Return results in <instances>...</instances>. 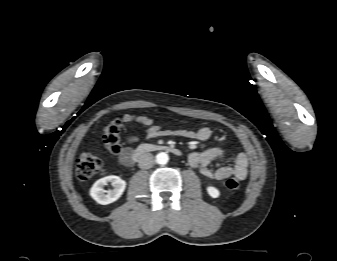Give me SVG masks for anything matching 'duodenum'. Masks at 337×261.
Returning <instances> with one entry per match:
<instances>
[{"instance_id": "1", "label": "duodenum", "mask_w": 337, "mask_h": 261, "mask_svg": "<svg viewBox=\"0 0 337 261\" xmlns=\"http://www.w3.org/2000/svg\"><path fill=\"white\" fill-rule=\"evenodd\" d=\"M151 152H169L175 155H181V151L173 146L163 144H142L133 152L131 162L135 163Z\"/></svg>"}]
</instances>
